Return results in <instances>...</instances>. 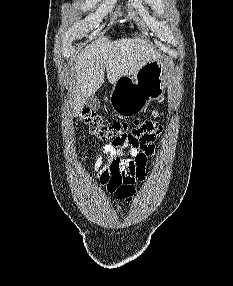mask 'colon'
<instances>
[{
    "label": "colon",
    "instance_id": "5ec220e1",
    "mask_svg": "<svg viewBox=\"0 0 233 286\" xmlns=\"http://www.w3.org/2000/svg\"><path fill=\"white\" fill-rule=\"evenodd\" d=\"M156 114L158 112H155ZM81 120L88 132L100 141H116L126 136H132L141 132L144 123L135 121L133 126L125 122H109L92 110H84Z\"/></svg>",
    "mask_w": 233,
    "mask_h": 286
}]
</instances>
